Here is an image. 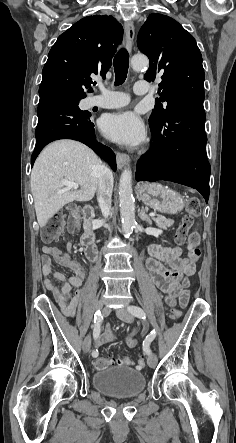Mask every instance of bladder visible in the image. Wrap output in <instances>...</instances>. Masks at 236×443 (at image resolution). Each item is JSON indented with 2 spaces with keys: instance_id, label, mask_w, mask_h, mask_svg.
<instances>
[{
  "instance_id": "obj_1",
  "label": "bladder",
  "mask_w": 236,
  "mask_h": 443,
  "mask_svg": "<svg viewBox=\"0 0 236 443\" xmlns=\"http://www.w3.org/2000/svg\"><path fill=\"white\" fill-rule=\"evenodd\" d=\"M92 383L105 396L129 399L144 390L146 380L143 373L132 367H113L96 371Z\"/></svg>"
}]
</instances>
